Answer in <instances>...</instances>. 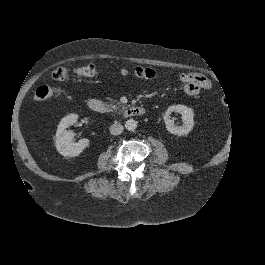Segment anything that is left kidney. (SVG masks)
I'll return each instance as SVG.
<instances>
[{
	"mask_svg": "<svg viewBox=\"0 0 265 265\" xmlns=\"http://www.w3.org/2000/svg\"><path fill=\"white\" fill-rule=\"evenodd\" d=\"M172 112H177L182 115V126H176L174 121L171 119L170 115ZM194 112L191 108H188L184 105H173L168 107L166 110L163 119L166 125L167 130L175 135L182 136L188 134L194 126Z\"/></svg>",
	"mask_w": 265,
	"mask_h": 265,
	"instance_id": "obj_1",
	"label": "left kidney"
}]
</instances>
